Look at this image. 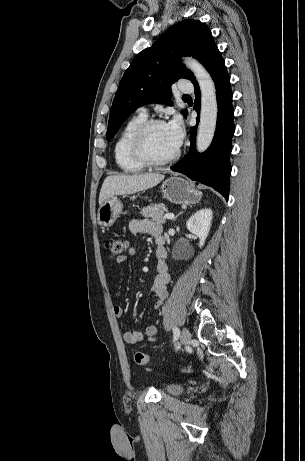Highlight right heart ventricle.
<instances>
[{
    "instance_id": "right-heart-ventricle-1",
    "label": "right heart ventricle",
    "mask_w": 305,
    "mask_h": 461,
    "mask_svg": "<svg viewBox=\"0 0 305 461\" xmlns=\"http://www.w3.org/2000/svg\"><path fill=\"white\" fill-rule=\"evenodd\" d=\"M146 120V115L139 113L131 117L122 128L114 145V157L118 167L125 172H139L145 166L137 162L130 152V142L137 128Z\"/></svg>"
}]
</instances>
